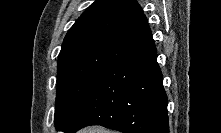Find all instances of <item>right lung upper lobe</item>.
I'll use <instances>...</instances> for the list:
<instances>
[{
    "instance_id": "right-lung-upper-lobe-1",
    "label": "right lung upper lobe",
    "mask_w": 221,
    "mask_h": 133,
    "mask_svg": "<svg viewBox=\"0 0 221 133\" xmlns=\"http://www.w3.org/2000/svg\"><path fill=\"white\" fill-rule=\"evenodd\" d=\"M154 47L147 19L135 0H97L66 34L57 72L108 69Z\"/></svg>"
}]
</instances>
